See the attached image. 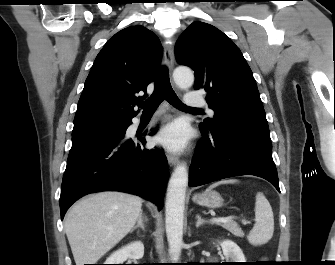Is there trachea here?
Listing matches in <instances>:
<instances>
[{
	"label": "trachea",
	"instance_id": "trachea-1",
	"mask_svg": "<svg viewBox=\"0 0 335 265\" xmlns=\"http://www.w3.org/2000/svg\"><path fill=\"white\" fill-rule=\"evenodd\" d=\"M164 99L180 110H199L187 107L179 100L170 84L169 73L166 67H162L158 73L153 94L146 101L140 103L139 106L143 109V113L154 112Z\"/></svg>",
	"mask_w": 335,
	"mask_h": 265
}]
</instances>
